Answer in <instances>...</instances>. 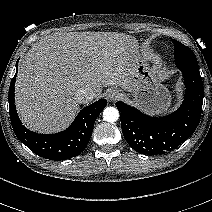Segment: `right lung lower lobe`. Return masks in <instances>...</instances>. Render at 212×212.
I'll return each mask as SVG.
<instances>
[{
  "instance_id": "1",
  "label": "right lung lower lobe",
  "mask_w": 212,
  "mask_h": 212,
  "mask_svg": "<svg viewBox=\"0 0 212 212\" xmlns=\"http://www.w3.org/2000/svg\"><path fill=\"white\" fill-rule=\"evenodd\" d=\"M16 76L17 72L10 83L8 101L12 127L18 139L37 155L50 160H66L83 152L91 138L94 123L107 101L100 99L83 108L70 127L62 132L38 134L23 126L18 117L14 104Z\"/></svg>"
}]
</instances>
